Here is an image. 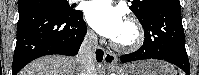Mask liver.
<instances>
[{
	"label": "liver",
	"mask_w": 199,
	"mask_h": 75,
	"mask_svg": "<svg viewBox=\"0 0 199 75\" xmlns=\"http://www.w3.org/2000/svg\"><path fill=\"white\" fill-rule=\"evenodd\" d=\"M83 65L77 58L52 55L38 58L29 63L19 75H82ZM102 73L96 67V75Z\"/></svg>",
	"instance_id": "6515ba94"
}]
</instances>
